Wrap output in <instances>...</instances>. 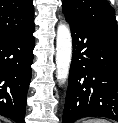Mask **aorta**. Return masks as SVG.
Wrapping results in <instances>:
<instances>
[{"instance_id":"aorta-1","label":"aorta","mask_w":118,"mask_h":123,"mask_svg":"<svg viewBox=\"0 0 118 123\" xmlns=\"http://www.w3.org/2000/svg\"><path fill=\"white\" fill-rule=\"evenodd\" d=\"M72 58V37L69 27L66 24H60L57 28L56 37V77L59 85L66 82L69 74Z\"/></svg>"}]
</instances>
